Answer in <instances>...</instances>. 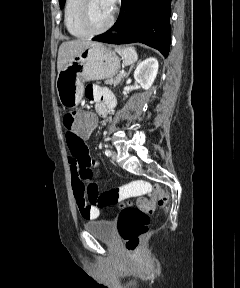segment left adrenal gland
I'll return each instance as SVG.
<instances>
[{
	"mask_svg": "<svg viewBox=\"0 0 240 288\" xmlns=\"http://www.w3.org/2000/svg\"><path fill=\"white\" fill-rule=\"evenodd\" d=\"M132 68H133V66L130 67V69H129L127 75H126V77L129 75V73H130V71H131Z\"/></svg>",
	"mask_w": 240,
	"mask_h": 288,
	"instance_id": "left-adrenal-gland-1",
	"label": "left adrenal gland"
}]
</instances>
